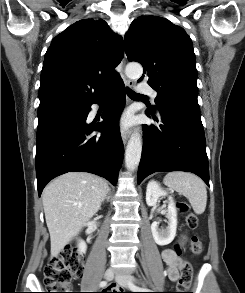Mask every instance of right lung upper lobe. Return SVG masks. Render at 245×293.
I'll list each match as a JSON object with an SVG mask.
<instances>
[{
	"label": "right lung upper lobe",
	"mask_w": 245,
	"mask_h": 293,
	"mask_svg": "<svg viewBox=\"0 0 245 293\" xmlns=\"http://www.w3.org/2000/svg\"><path fill=\"white\" fill-rule=\"evenodd\" d=\"M124 44L103 19L77 21L57 35L43 63L39 108L85 105L114 85Z\"/></svg>",
	"instance_id": "right-lung-upper-lobe-1"
}]
</instances>
